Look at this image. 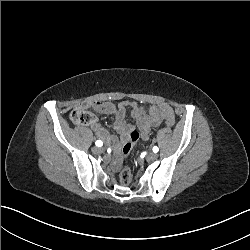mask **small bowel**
I'll use <instances>...</instances> for the list:
<instances>
[{"instance_id":"1","label":"small bowel","mask_w":250,"mask_h":250,"mask_svg":"<svg viewBox=\"0 0 250 250\" xmlns=\"http://www.w3.org/2000/svg\"><path fill=\"white\" fill-rule=\"evenodd\" d=\"M127 106L128 104L126 103L115 105L112 103L101 102H80L75 105V108L85 110L92 109L101 114L114 115V128L118 134V137L110 134L108 130L98 122L93 124V129L99 139L107 143L109 146L117 148L120 144L126 142L130 138L131 131L135 129L126 121ZM131 116L136 121L137 130L140 133V137L144 140H147L149 138L151 129L162 124L164 117H174V113L171 106L167 103H159L150 107L149 109H144L137 104H133Z\"/></svg>"}]
</instances>
